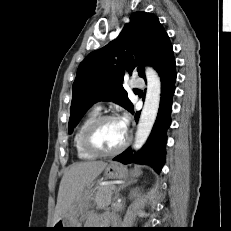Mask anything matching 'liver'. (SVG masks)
I'll use <instances>...</instances> for the list:
<instances>
[{"label":"liver","mask_w":231,"mask_h":231,"mask_svg":"<svg viewBox=\"0 0 231 231\" xmlns=\"http://www.w3.org/2000/svg\"><path fill=\"white\" fill-rule=\"evenodd\" d=\"M103 161L78 162L67 170L60 182L53 225L68 216L75 199L89 188L93 181L106 168Z\"/></svg>","instance_id":"1"}]
</instances>
